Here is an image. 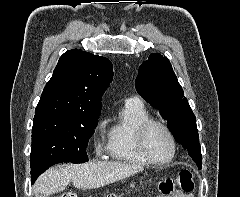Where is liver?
I'll return each mask as SVG.
<instances>
[{
  "instance_id": "liver-1",
  "label": "liver",
  "mask_w": 240,
  "mask_h": 197,
  "mask_svg": "<svg viewBox=\"0 0 240 197\" xmlns=\"http://www.w3.org/2000/svg\"><path fill=\"white\" fill-rule=\"evenodd\" d=\"M143 166L118 162H88L55 166L34 184V193L43 197L63 192L72 182L76 188L94 189L141 172Z\"/></svg>"
}]
</instances>
